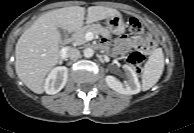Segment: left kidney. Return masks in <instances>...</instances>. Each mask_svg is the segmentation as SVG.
Segmentation results:
<instances>
[{"mask_svg":"<svg viewBox=\"0 0 194 133\" xmlns=\"http://www.w3.org/2000/svg\"><path fill=\"white\" fill-rule=\"evenodd\" d=\"M126 80L121 82L116 77L108 75L105 78L107 85L120 94L133 95L141 90V86L135 70L129 65H123Z\"/></svg>","mask_w":194,"mask_h":133,"instance_id":"obj_1","label":"left kidney"}]
</instances>
